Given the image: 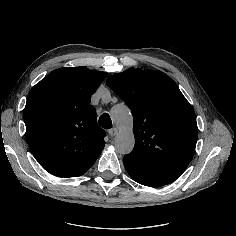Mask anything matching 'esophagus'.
Returning <instances> with one entry per match:
<instances>
[{"instance_id": "34e87169", "label": "esophagus", "mask_w": 236, "mask_h": 236, "mask_svg": "<svg viewBox=\"0 0 236 236\" xmlns=\"http://www.w3.org/2000/svg\"><path fill=\"white\" fill-rule=\"evenodd\" d=\"M117 133H118V129L117 128H112L111 130H109V135L111 137H114Z\"/></svg>"}]
</instances>
